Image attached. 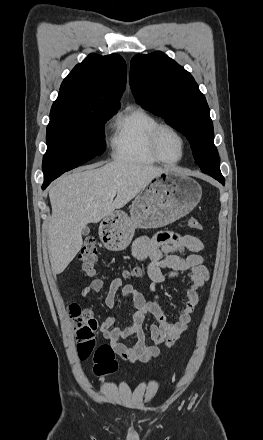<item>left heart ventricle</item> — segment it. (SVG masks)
Instances as JSON below:
<instances>
[{
  "instance_id": "b2bd125f",
  "label": "left heart ventricle",
  "mask_w": 263,
  "mask_h": 440,
  "mask_svg": "<svg viewBox=\"0 0 263 440\" xmlns=\"http://www.w3.org/2000/svg\"><path fill=\"white\" fill-rule=\"evenodd\" d=\"M158 150L164 159L177 160L182 151L181 141L173 132L163 130L158 138Z\"/></svg>"
}]
</instances>
